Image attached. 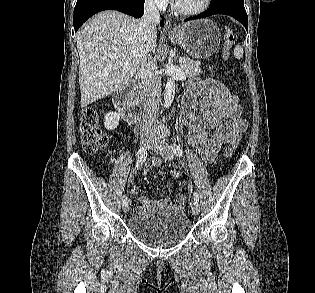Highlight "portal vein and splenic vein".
<instances>
[{"label":"portal vein and splenic vein","mask_w":315,"mask_h":293,"mask_svg":"<svg viewBox=\"0 0 315 293\" xmlns=\"http://www.w3.org/2000/svg\"><path fill=\"white\" fill-rule=\"evenodd\" d=\"M186 61V58H184V57H180L179 58V63H184ZM127 64H125V66H126Z\"/></svg>","instance_id":"portal-vein-and-splenic-vein-1"}]
</instances>
